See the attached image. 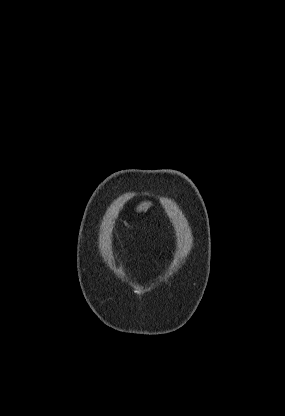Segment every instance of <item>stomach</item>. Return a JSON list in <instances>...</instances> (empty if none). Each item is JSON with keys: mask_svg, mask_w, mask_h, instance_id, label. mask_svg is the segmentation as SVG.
<instances>
[{"mask_svg": "<svg viewBox=\"0 0 285 416\" xmlns=\"http://www.w3.org/2000/svg\"><path fill=\"white\" fill-rule=\"evenodd\" d=\"M151 206H152L151 202H141V204L137 206L136 212H147V210H149Z\"/></svg>", "mask_w": 285, "mask_h": 416, "instance_id": "stomach-1", "label": "stomach"}]
</instances>
